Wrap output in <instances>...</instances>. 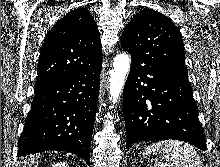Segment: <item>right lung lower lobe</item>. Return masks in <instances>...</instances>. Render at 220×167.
Masks as SVG:
<instances>
[{
    "label": "right lung lower lobe",
    "instance_id": "right-lung-lower-lobe-1",
    "mask_svg": "<svg viewBox=\"0 0 220 167\" xmlns=\"http://www.w3.org/2000/svg\"><path fill=\"white\" fill-rule=\"evenodd\" d=\"M101 64L49 84L36 86L19 139L18 156L67 151L89 165Z\"/></svg>",
    "mask_w": 220,
    "mask_h": 167
}]
</instances>
